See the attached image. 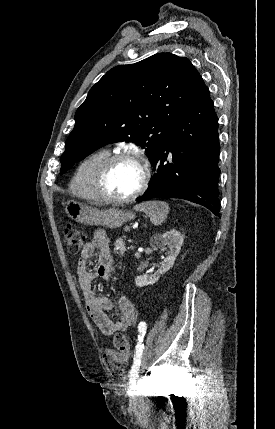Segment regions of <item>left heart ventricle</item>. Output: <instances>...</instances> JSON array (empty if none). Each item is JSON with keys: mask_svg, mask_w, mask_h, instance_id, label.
Segmentation results:
<instances>
[{"mask_svg": "<svg viewBox=\"0 0 275 429\" xmlns=\"http://www.w3.org/2000/svg\"><path fill=\"white\" fill-rule=\"evenodd\" d=\"M142 171L138 163L132 160H122L110 169L106 181V191L115 197L131 195L139 186Z\"/></svg>", "mask_w": 275, "mask_h": 429, "instance_id": "b2bd125f", "label": "left heart ventricle"}]
</instances>
